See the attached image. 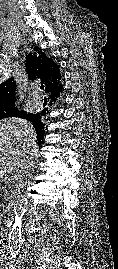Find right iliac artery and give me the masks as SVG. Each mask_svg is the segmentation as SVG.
I'll list each match as a JSON object with an SVG mask.
<instances>
[{"label":"right iliac artery","instance_id":"1","mask_svg":"<svg viewBox=\"0 0 118 269\" xmlns=\"http://www.w3.org/2000/svg\"><path fill=\"white\" fill-rule=\"evenodd\" d=\"M18 262H19V260L16 256H12L9 259V265L12 269H16Z\"/></svg>","mask_w":118,"mask_h":269}]
</instances>
